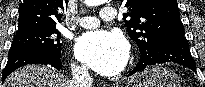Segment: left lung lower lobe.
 <instances>
[{
    "mask_svg": "<svg viewBox=\"0 0 205 87\" xmlns=\"http://www.w3.org/2000/svg\"><path fill=\"white\" fill-rule=\"evenodd\" d=\"M174 62L196 71V65L189 51V44L184 31H176L165 36L158 45L154 55L140 58L129 75H133L149 65Z\"/></svg>",
    "mask_w": 205,
    "mask_h": 87,
    "instance_id": "left-lung-lower-lobe-1",
    "label": "left lung lower lobe"
}]
</instances>
